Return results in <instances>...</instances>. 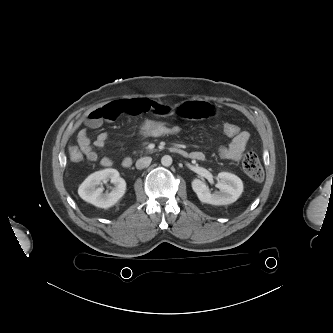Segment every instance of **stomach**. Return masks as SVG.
I'll return each instance as SVG.
<instances>
[{
	"instance_id": "stomach-1",
	"label": "stomach",
	"mask_w": 333,
	"mask_h": 333,
	"mask_svg": "<svg viewBox=\"0 0 333 333\" xmlns=\"http://www.w3.org/2000/svg\"><path fill=\"white\" fill-rule=\"evenodd\" d=\"M172 112L179 120L214 119L219 115L220 107L214 101H193L177 104Z\"/></svg>"
}]
</instances>
